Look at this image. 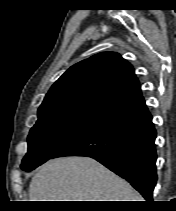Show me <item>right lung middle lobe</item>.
I'll return each mask as SVG.
<instances>
[{
    "mask_svg": "<svg viewBox=\"0 0 176 211\" xmlns=\"http://www.w3.org/2000/svg\"><path fill=\"white\" fill-rule=\"evenodd\" d=\"M98 122L100 121L66 113L38 115V121L28 135V152L22 161L21 168L31 171L85 134Z\"/></svg>",
    "mask_w": 176,
    "mask_h": 211,
    "instance_id": "dd1d6c3e",
    "label": "right lung middle lobe"
}]
</instances>
